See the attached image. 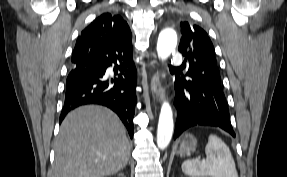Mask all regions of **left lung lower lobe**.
I'll return each mask as SVG.
<instances>
[{"mask_svg":"<svg viewBox=\"0 0 287 177\" xmlns=\"http://www.w3.org/2000/svg\"><path fill=\"white\" fill-rule=\"evenodd\" d=\"M174 88L177 109L174 139L194 125L218 126L235 137L222 88L213 86L203 90L201 85L185 77H176Z\"/></svg>","mask_w":287,"mask_h":177,"instance_id":"1","label":"left lung lower lobe"}]
</instances>
